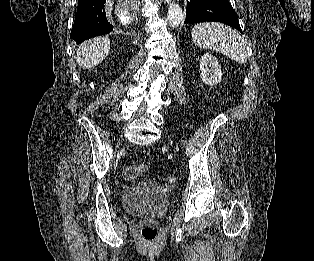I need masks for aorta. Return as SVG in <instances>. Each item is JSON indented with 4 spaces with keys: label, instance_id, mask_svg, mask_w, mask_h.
I'll return each instance as SVG.
<instances>
[{
    "label": "aorta",
    "instance_id": "obj_1",
    "mask_svg": "<svg viewBox=\"0 0 314 261\" xmlns=\"http://www.w3.org/2000/svg\"><path fill=\"white\" fill-rule=\"evenodd\" d=\"M183 19V13L180 5L178 3L172 2L169 5L167 20L172 27H177L180 25Z\"/></svg>",
    "mask_w": 314,
    "mask_h": 261
}]
</instances>
